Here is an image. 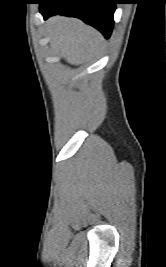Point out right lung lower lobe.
<instances>
[{
	"mask_svg": "<svg viewBox=\"0 0 166 267\" xmlns=\"http://www.w3.org/2000/svg\"><path fill=\"white\" fill-rule=\"evenodd\" d=\"M116 3L115 0H42L39 4L45 20L56 14L77 17L108 39L114 24Z\"/></svg>",
	"mask_w": 166,
	"mask_h": 267,
	"instance_id": "1",
	"label": "right lung lower lobe"
}]
</instances>
